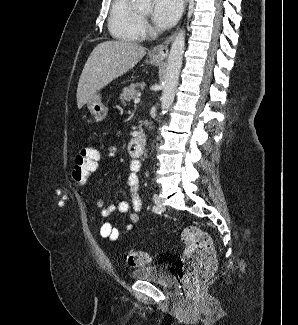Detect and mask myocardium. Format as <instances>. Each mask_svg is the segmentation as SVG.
<instances>
[{"mask_svg":"<svg viewBox=\"0 0 298 325\" xmlns=\"http://www.w3.org/2000/svg\"><path fill=\"white\" fill-rule=\"evenodd\" d=\"M140 1L134 2V13L136 16V31L141 36V38L148 37L152 34L150 29L144 28V25L147 23L148 14L143 12L140 8Z\"/></svg>","mask_w":298,"mask_h":325,"instance_id":"obj_1","label":"myocardium"}]
</instances>
